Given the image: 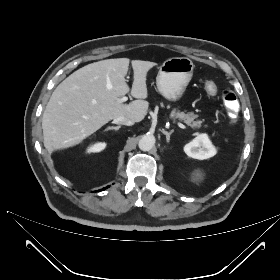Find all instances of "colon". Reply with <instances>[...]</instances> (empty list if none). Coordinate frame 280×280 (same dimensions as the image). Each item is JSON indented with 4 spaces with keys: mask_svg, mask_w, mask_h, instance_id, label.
I'll list each match as a JSON object with an SVG mask.
<instances>
[{
    "mask_svg": "<svg viewBox=\"0 0 280 280\" xmlns=\"http://www.w3.org/2000/svg\"><path fill=\"white\" fill-rule=\"evenodd\" d=\"M204 89L210 96L217 93V85L213 81H206ZM221 97L228 112L233 113L238 109V101L235 93L230 89H222Z\"/></svg>",
    "mask_w": 280,
    "mask_h": 280,
    "instance_id": "1",
    "label": "colon"
}]
</instances>
